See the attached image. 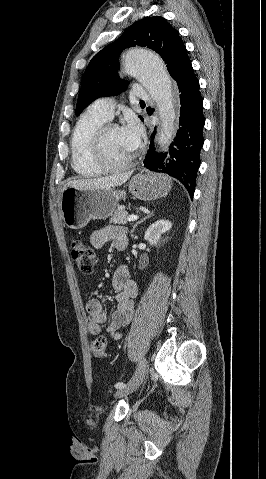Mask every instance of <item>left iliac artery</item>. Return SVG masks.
<instances>
[{"mask_svg":"<svg viewBox=\"0 0 266 479\" xmlns=\"http://www.w3.org/2000/svg\"><path fill=\"white\" fill-rule=\"evenodd\" d=\"M126 385L123 383V382H118L115 384V388L117 389H121V388H124Z\"/></svg>","mask_w":266,"mask_h":479,"instance_id":"44dca946","label":"left iliac artery"}]
</instances>
